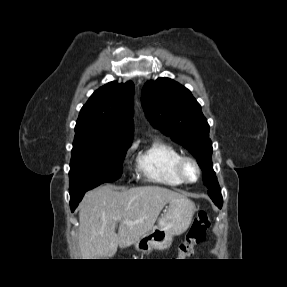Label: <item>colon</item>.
<instances>
[{
    "label": "colon",
    "mask_w": 287,
    "mask_h": 287,
    "mask_svg": "<svg viewBox=\"0 0 287 287\" xmlns=\"http://www.w3.org/2000/svg\"><path fill=\"white\" fill-rule=\"evenodd\" d=\"M210 225L209 216L205 211H199L186 235L179 246V257L186 259L192 255L194 247L205 238L206 230Z\"/></svg>",
    "instance_id": "5ec220e1"
}]
</instances>
